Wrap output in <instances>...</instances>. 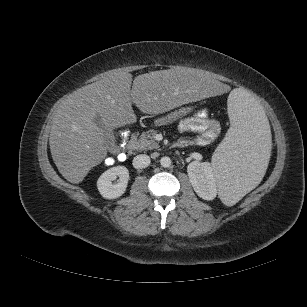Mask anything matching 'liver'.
I'll use <instances>...</instances> for the list:
<instances>
[{
  "label": "liver",
  "instance_id": "liver-1",
  "mask_svg": "<svg viewBox=\"0 0 307 307\" xmlns=\"http://www.w3.org/2000/svg\"><path fill=\"white\" fill-rule=\"evenodd\" d=\"M124 71L77 89L53 117L49 145L55 165L69 182L78 184L107 155L100 117L111 129L136 122L132 103L143 113L159 114L215 94L227 87L194 68L153 71L135 77Z\"/></svg>",
  "mask_w": 307,
  "mask_h": 307
}]
</instances>
